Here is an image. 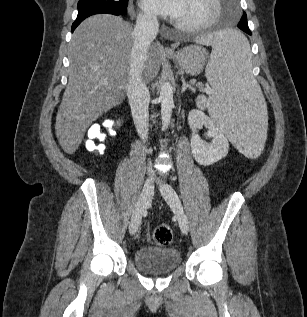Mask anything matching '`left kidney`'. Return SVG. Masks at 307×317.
Segmentation results:
<instances>
[{"label": "left kidney", "instance_id": "left-kidney-1", "mask_svg": "<svg viewBox=\"0 0 307 317\" xmlns=\"http://www.w3.org/2000/svg\"><path fill=\"white\" fill-rule=\"evenodd\" d=\"M188 123L193 131L191 137L192 154L199 164L208 166L227 155L229 143L226 136L203 111L191 110L188 115ZM203 125L209 129V134L213 138L210 144L205 143L197 133V129Z\"/></svg>", "mask_w": 307, "mask_h": 317}]
</instances>
